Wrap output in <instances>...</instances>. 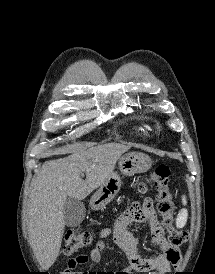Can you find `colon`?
I'll return each instance as SVG.
<instances>
[{
    "mask_svg": "<svg viewBox=\"0 0 215 274\" xmlns=\"http://www.w3.org/2000/svg\"><path fill=\"white\" fill-rule=\"evenodd\" d=\"M170 168L165 163H159L155 166L150 178L157 190L158 209L163 217V225L168 230V241L181 246L187 241V234L179 230L174 225L175 205L169 186ZM148 189V183H141L138 186V192L144 193ZM92 236L87 231L69 230L65 235V244L63 252L65 255H72L80 249L88 246Z\"/></svg>",
    "mask_w": 215,
    "mask_h": 274,
    "instance_id": "5ec220e1",
    "label": "colon"
}]
</instances>
